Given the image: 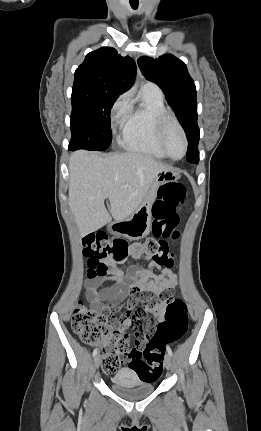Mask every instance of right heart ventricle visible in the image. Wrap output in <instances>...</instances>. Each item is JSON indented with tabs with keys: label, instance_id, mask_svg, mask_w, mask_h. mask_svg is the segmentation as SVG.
<instances>
[{
	"label": "right heart ventricle",
	"instance_id": "obj_1",
	"mask_svg": "<svg viewBox=\"0 0 261 431\" xmlns=\"http://www.w3.org/2000/svg\"><path fill=\"white\" fill-rule=\"evenodd\" d=\"M140 98L139 105L129 107L122 124L119 143L129 151L166 158L156 137L157 118L167 112L162 94L142 88Z\"/></svg>",
	"mask_w": 261,
	"mask_h": 431
}]
</instances>
